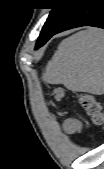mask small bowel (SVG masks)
I'll return each mask as SVG.
<instances>
[{"label": "small bowel", "instance_id": "small-bowel-1", "mask_svg": "<svg viewBox=\"0 0 104 169\" xmlns=\"http://www.w3.org/2000/svg\"><path fill=\"white\" fill-rule=\"evenodd\" d=\"M82 125L77 120H68L65 124L66 131L70 134H75L80 131Z\"/></svg>", "mask_w": 104, "mask_h": 169}]
</instances>
